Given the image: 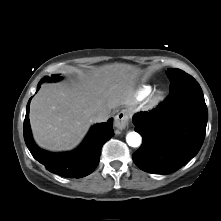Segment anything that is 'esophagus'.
I'll return each instance as SVG.
<instances>
[{
	"instance_id": "1",
	"label": "esophagus",
	"mask_w": 221,
	"mask_h": 221,
	"mask_svg": "<svg viewBox=\"0 0 221 221\" xmlns=\"http://www.w3.org/2000/svg\"><path fill=\"white\" fill-rule=\"evenodd\" d=\"M128 122H129L128 114L125 113L124 111H121L115 116L114 126L116 127L117 130L122 131L126 128Z\"/></svg>"
}]
</instances>
